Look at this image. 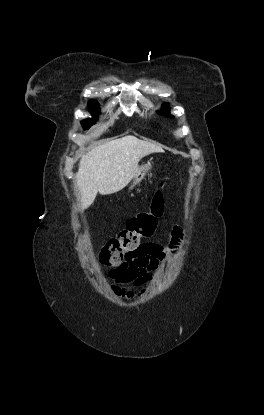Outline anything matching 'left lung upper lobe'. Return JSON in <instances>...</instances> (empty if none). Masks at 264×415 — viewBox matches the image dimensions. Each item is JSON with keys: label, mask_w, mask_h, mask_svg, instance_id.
<instances>
[{"label": "left lung upper lobe", "mask_w": 264, "mask_h": 415, "mask_svg": "<svg viewBox=\"0 0 264 415\" xmlns=\"http://www.w3.org/2000/svg\"><path fill=\"white\" fill-rule=\"evenodd\" d=\"M160 114H162V115H165V116H167V117H173L171 114H170V110H169V104L168 103H165L164 105H163V110L160 112Z\"/></svg>", "instance_id": "left-lung-upper-lobe-1"}]
</instances>
